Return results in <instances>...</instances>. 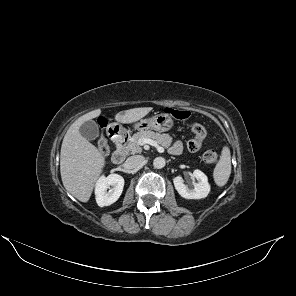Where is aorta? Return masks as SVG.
<instances>
[{"instance_id":"762f6f07","label":"aorta","mask_w":296,"mask_h":296,"mask_svg":"<svg viewBox=\"0 0 296 296\" xmlns=\"http://www.w3.org/2000/svg\"><path fill=\"white\" fill-rule=\"evenodd\" d=\"M166 164V161L163 157H156L153 161V166L156 168V169H161L165 166Z\"/></svg>"}]
</instances>
